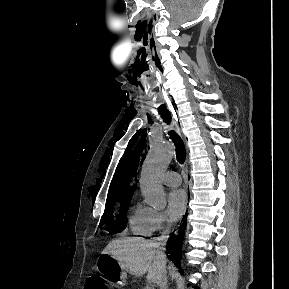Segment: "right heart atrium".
I'll use <instances>...</instances> for the list:
<instances>
[{
    "instance_id": "right-heart-atrium-1",
    "label": "right heart atrium",
    "mask_w": 289,
    "mask_h": 289,
    "mask_svg": "<svg viewBox=\"0 0 289 289\" xmlns=\"http://www.w3.org/2000/svg\"><path fill=\"white\" fill-rule=\"evenodd\" d=\"M153 224H154V231L163 230L168 224L165 214L159 211H155Z\"/></svg>"
}]
</instances>
